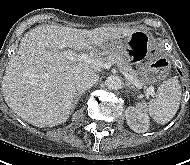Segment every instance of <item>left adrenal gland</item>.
<instances>
[{
    "label": "left adrenal gland",
    "mask_w": 190,
    "mask_h": 165,
    "mask_svg": "<svg viewBox=\"0 0 190 165\" xmlns=\"http://www.w3.org/2000/svg\"><path fill=\"white\" fill-rule=\"evenodd\" d=\"M127 86L129 87V89H133V86H131V84L128 82Z\"/></svg>",
    "instance_id": "1"
}]
</instances>
